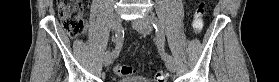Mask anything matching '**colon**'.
Wrapping results in <instances>:
<instances>
[{"mask_svg": "<svg viewBox=\"0 0 279 82\" xmlns=\"http://www.w3.org/2000/svg\"><path fill=\"white\" fill-rule=\"evenodd\" d=\"M205 1L198 2V8L193 14L192 28L195 32L201 31L203 27V9ZM59 16L62 24L71 37H78L84 34L86 30L84 20V5L82 0H57ZM135 69L128 65H115L114 73L119 77L130 76ZM168 73L159 70L154 75V82H166Z\"/></svg>", "mask_w": 279, "mask_h": 82, "instance_id": "5ec220e1", "label": "colon"}]
</instances>
